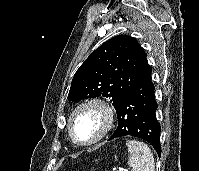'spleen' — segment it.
Here are the masks:
<instances>
[{"label": "spleen", "mask_w": 199, "mask_h": 171, "mask_svg": "<svg viewBox=\"0 0 199 171\" xmlns=\"http://www.w3.org/2000/svg\"><path fill=\"white\" fill-rule=\"evenodd\" d=\"M128 165L132 171H155L154 156L150 148L141 141L127 140Z\"/></svg>", "instance_id": "obj_1"}]
</instances>
